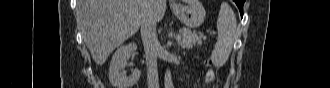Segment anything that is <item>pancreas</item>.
Here are the masks:
<instances>
[{
    "label": "pancreas",
    "instance_id": "1",
    "mask_svg": "<svg viewBox=\"0 0 330 88\" xmlns=\"http://www.w3.org/2000/svg\"><path fill=\"white\" fill-rule=\"evenodd\" d=\"M182 35V40L179 42V45L182 48L191 49L193 46H201L202 40H205L206 37L202 33H196L190 29L183 28L180 30Z\"/></svg>",
    "mask_w": 330,
    "mask_h": 88
}]
</instances>
